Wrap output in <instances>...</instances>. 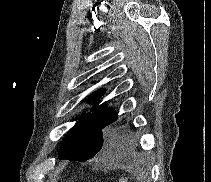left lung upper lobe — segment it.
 Returning <instances> with one entry per match:
<instances>
[{"instance_id": "obj_1", "label": "left lung upper lobe", "mask_w": 211, "mask_h": 182, "mask_svg": "<svg viewBox=\"0 0 211 182\" xmlns=\"http://www.w3.org/2000/svg\"><path fill=\"white\" fill-rule=\"evenodd\" d=\"M105 90H98L89 97V101L99 99ZM118 114L104 104L92 108V112L83 114L75 126L62 140L58 158L84 162L93 158L109 142L108 126L113 124Z\"/></svg>"}]
</instances>
